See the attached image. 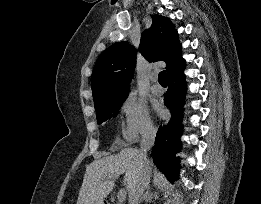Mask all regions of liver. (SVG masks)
I'll return each mask as SVG.
<instances>
[{
    "label": "liver",
    "instance_id": "6515ba94",
    "mask_svg": "<svg viewBox=\"0 0 261 204\" xmlns=\"http://www.w3.org/2000/svg\"><path fill=\"white\" fill-rule=\"evenodd\" d=\"M150 171L152 163H149ZM124 174L123 183L129 194L134 191L143 176L140 151L126 148L117 155L94 160L86 167L77 204H103L104 199L114 188V180L109 176Z\"/></svg>",
    "mask_w": 261,
    "mask_h": 204
}]
</instances>
